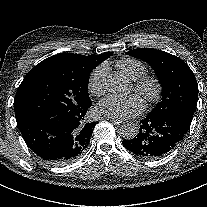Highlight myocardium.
Instances as JSON below:
<instances>
[{"label":"myocardium","instance_id":"f54148a6","mask_svg":"<svg viewBox=\"0 0 207 207\" xmlns=\"http://www.w3.org/2000/svg\"><path fill=\"white\" fill-rule=\"evenodd\" d=\"M134 91L142 96L146 104H154L162 96L163 85L157 76H143L134 84Z\"/></svg>","mask_w":207,"mask_h":207}]
</instances>
